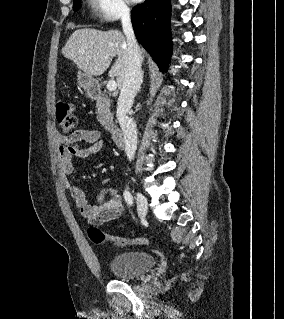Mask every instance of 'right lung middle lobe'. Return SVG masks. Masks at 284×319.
I'll use <instances>...</instances> for the list:
<instances>
[{
  "label": "right lung middle lobe",
  "mask_w": 284,
  "mask_h": 319,
  "mask_svg": "<svg viewBox=\"0 0 284 319\" xmlns=\"http://www.w3.org/2000/svg\"><path fill=\"white\" fill-rule=\"evenodd\" d=\"M80 8V0H74L73 9L76 11Z\"/></svg>",
  "instance_id": "right-lung-middle-lobe-1"
}]
</instances>
